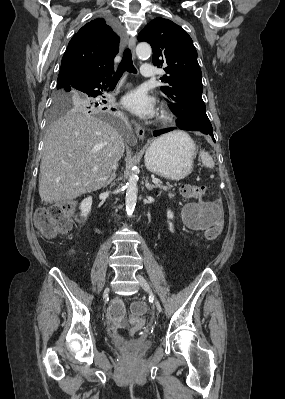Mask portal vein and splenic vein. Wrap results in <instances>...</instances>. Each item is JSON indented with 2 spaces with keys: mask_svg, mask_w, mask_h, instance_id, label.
<instances>
[{
  "mask_svg": "<svg viewBox=\"0 0 285 399\" xmlns=\"http://www.w3.org/2000/svg\"><path fill=\"white\" fill-rule=\"evenodd\" d=\"M92 171H94V172L97 171V168H93ZM152 182L154 184H158V183H160V180L159 179H153Z\"/></svg>",
  "mask_w": 285,
  "mask_h": 399,
  "instance_id": "portal-vein-and-splenic-vein-1",
  "label": "portal vein and splenic vein"
}]
</instances>
